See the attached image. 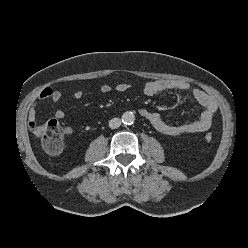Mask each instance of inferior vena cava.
I'll return each instance as SVG.
<instances>
[{
  "label": "inferior vena cava",
  "instance_id": "602c4592",
  "mask_svg": "<svg viewBox=\"0 0 248 248\" xmlns=\"http://www.w3.org/2000/svg\"><path fill=\"white\" fill-rule=\"evenodd\" d=\"M121 125V119L119 118H113L109 121V127L111 129H117Z\"/></svg>",
  "mask_w": 248,
  "mask_h": 248
}]
</instances>
